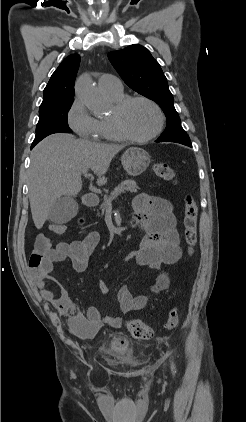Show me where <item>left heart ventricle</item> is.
I'll use <instances>...</instances> for the list:
<instances>
[{
    "label": "left heart ventricle",
    "mask_w": 246,
    "mask_h": 422,
    "mask_svg": "<svg viewBox=\"0 0 246 422\" xmlns=\"http://www.w3.org/2000/svg\"><path fill=\"white\" fill-rule=\"evenodd\" d=\"M123 122L133 135L144 137L156 129L158 114L151 105L136 101L131 103L124 111Z\"/></svg>",
    "instance_id": "obj_1"
}]
</instances>
